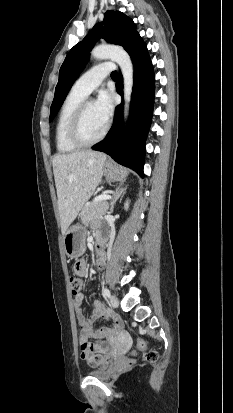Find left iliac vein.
Listing matches in <instances>:
<instances>
[{"label": "left iliac vein", "instance_id": "left-iliac-vein-1", "mask_svg": "<svg viewBox=\"0 0 233 413\" xmlns=\"http://www.w3.org/2000/svg\"><path fill=\"white\" fill-rule=\"evenodd\" d=\"M109 302H110L111 306L114 307V308L118 307V305H119V302H118L117 298L114 295H111L109 297Z\"/></svg>", "mask_w": 233, "mask_h": 413}]
</instances>
